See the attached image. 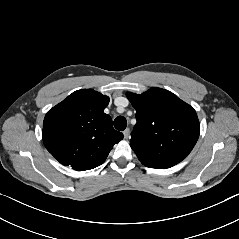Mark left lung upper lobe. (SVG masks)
Wrapping results in <instances>:
<instances>
[{
    "mask_svg": "<svg viewBox=\"0 0 239 239\" xmlns=\"http://www.w3.org/2000/svg\"><path fill=\"white\" fill-rule=\"evenodd\" d=\"M126 95L137 120L130 146L142 164L166 169L185 159L200 133L196 111L172 92L158 87Z\"/></svg>",
    "mask_w": 239,
    "mask_h": 239,
    "instance_id": "left-lung-upper-lobe-1",
    "label": "left lung upper lobe"
}]
</instances>
